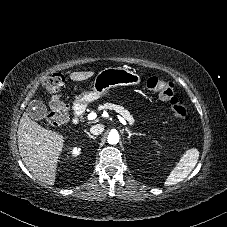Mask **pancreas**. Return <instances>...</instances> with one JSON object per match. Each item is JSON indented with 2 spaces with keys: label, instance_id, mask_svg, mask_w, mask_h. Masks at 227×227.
<instances>
[{
  "label": "pancreas",
  "instance_id": "cf45deb5",
  "mask_svg": "<svg viewBox=\"0 0 227 227\" xmlns=\"http://www.w3.org/2000/svg\"><path fill=\"white\" fill-rule=\"evenodd\" d=\"M102 109H110L120 113L123 116V118L126 119L131 125H133L135 122L130 112L122 106L112 104V103H105L104 105L98 106V110H102Z\"/></svg>",
  "mask_w": 227,
  "mask_h": 227
}]
</instances>
